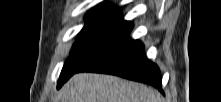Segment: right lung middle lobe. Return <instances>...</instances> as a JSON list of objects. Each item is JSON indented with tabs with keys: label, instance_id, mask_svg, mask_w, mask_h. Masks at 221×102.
Returning a JSON list of instances; mask_svg holds the SVG:
<instances>
[{
	"label": "right lung middle lobe",
	"instance_id": "dd1d6c3e",
	"mask_svg": "<svg viewBox=\"0 0 221 102\" xmlns=\"http://www.w3.org/2000/svg\"><path fill=\"white\" fill-rule=\"evenodd\" d=\"M85 19L87 22L64 64L59 80L72 75L133 27L129 22L120 19L117 9L105 5L88 12Z\"/></svg>",
	"mask_w": 221,
	"mask_h": 102
}]
</instances>
